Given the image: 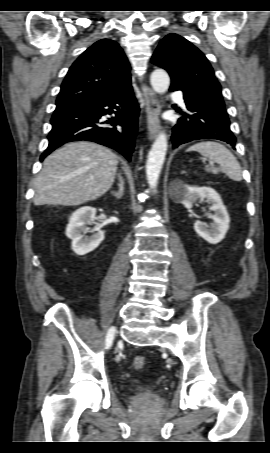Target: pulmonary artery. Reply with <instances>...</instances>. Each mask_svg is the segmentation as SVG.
<instances>
[{
	"mask_svg": "<svg viewBox=\"0 0 270 453\" xmlns=\"http://www.w3.org/2000/svg\"><path fill=\"white\" fill-rule=\"evenodd\" d=\"M172 98L176 99L177 101H179L182 104L184 103L182 95L179 92H174L173 95H172Z\"/></svg>",
	"mask_w": 270,
	"mask_h": 453,
	"instance_id": "1",
	"label": "pulmonary artery"
}]
</instances>
